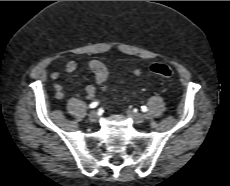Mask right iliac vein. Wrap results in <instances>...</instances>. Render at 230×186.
<instances>
[{
	"label": "right iliac vein",
	"mask_w": 230,
	"mask_h": 186,
	"mask_svg": "<svg viewBox=\"0 0 230 186\" xmlns=\"http://www.w3.org/2000/svg\"><path fill=\"white\" fill-rule=\"evenodd\" d=\"M88 117L91 122H96L98 120V114L96 111H91Z\"/></svg>",
	"instance_id": "obj_1"
}]
</instances>
